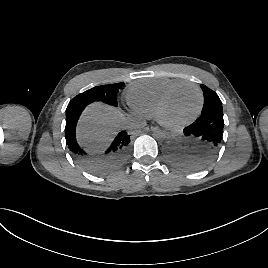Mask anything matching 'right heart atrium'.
Wrapping results in <instances>:
<instances>
[{"label": "right heart atrium", "instance_id": "1", "mask_svg": "<svg viewBox=\"0 0 268 268\" xmlns=\"http://www.w3.org/2000/svg\"><path fill=\"white\" fill-rule=\"evenodd\" d=\"M136 114H138V115H140V116H142L141 114H139L138 112H136V111H134Z\"/></svg>", "mask_w": 268, "mask_h": 268}]
</instances>
